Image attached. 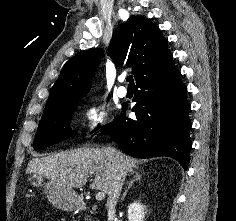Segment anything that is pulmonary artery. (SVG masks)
<instances>
[{
	"label": "pulmonary artery",
	"mask_w": 236,
	"mask_h": 221,
	"mask_svg": "<svg viewBox=\"0 0 236 221\" xmlns=\"http://www.w3.org/2000/svg\"><path fill=\"white\" fill-rule=\"evenodd\" d=\"M125 81V77H122L120 79V83L122 84ZM128 91L127 88L124 87L123 85H120L117 89V94L119 97H125L127 95Z\"/></svg>",
	"instance_id": "obj_1"
}]
</instances>
